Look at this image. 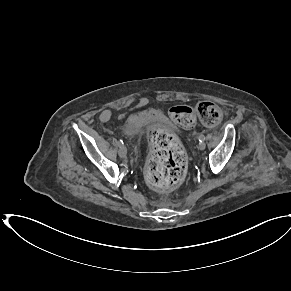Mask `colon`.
<instances>
[{"label": "colon", "instance_id": "obj_1", "mask_svg": "<svg viewBox=\"0 0 291 291\" xmlns=\"http://www.w3.org/2000/svg\"><path fill=\"white\" fill-rule=\"evenodd\" d=\"M170 118L183 128H191L200 119L205 125L214 126L222 117L221 109L212 102H199L194 106L176 105L169 109ZM151 155L145 175L149 186L169 191L179 186L187 174V155L172 133L158 128L151 134Z\"/></svg>", "mask_w": 291, "mask_h": 291}]
</instances>
